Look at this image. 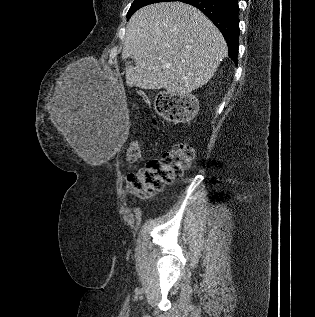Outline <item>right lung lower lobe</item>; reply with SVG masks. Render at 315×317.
<instances>
[{"instance_id": "1", "label": "right lung lower lobe", "mask_w": 315, "mask_h": 317, "mask_svg": "<svg viewBox=\"0 0 315 317\" xmlns=\"http://www.w3.org/2000/svg\"><path fill=\"white\" fill-rule=\"evenodd\" d=\"M201 10L221 31L229 50V57L237 64L239 7L237 0H177Z\"/></svg>"}]
</instances>
